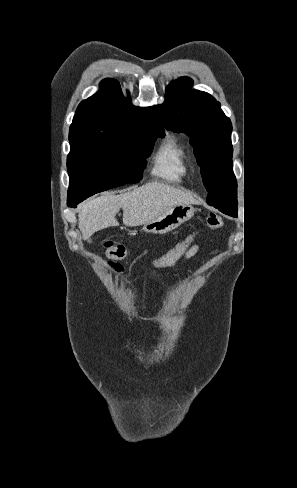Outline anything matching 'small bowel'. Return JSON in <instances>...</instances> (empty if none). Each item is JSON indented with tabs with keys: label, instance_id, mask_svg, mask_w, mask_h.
I'll list each match as a JSON object with an SVG mask.
<instances>
[{
	"label": "small bowel",
	"instance_id": "small-bowel-1",
	"mask_svg": "<svg viewBox=\"0 0 297 488\" xmlns=\"http://www.w3.org/2000/svg\"><path fill=\"white\" fill-rule=\"evenodd\" d=\"M200 250V246L198 244H193L189 249L188 251L183 255V257L180 259V261H184V260H189L193 257H195L198 252ZM190 272V270L188 271V273ZM172 277H175V278H179L180 276L177 275V274H171Z\"/></svg>",
	"mask_w": 297,
	"mask_h": 488
}]
</instances>
